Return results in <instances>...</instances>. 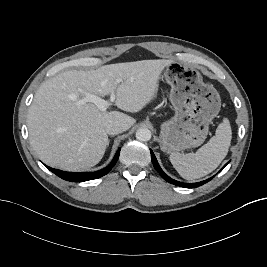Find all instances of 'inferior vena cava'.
Instances as JSON below:
<instances>
[{
    "label": "inferior vena cava",
    "instance_id": "1",
    "mask_svg": "<svg viewBox=\"0 0 267 267\" xmlns=\"http://www.w3.org/2000/svg\"><path fill=\"white\" fill-rule=\"evenodd\" d=\"M105 130L107 134L116 135V134L124 132L126 128L125 126H123L122 124L118 122H112V123L107 124Z\"/></svg>",
    "mask_w": 267,
    "mask_h": 267
}]
</instances>
